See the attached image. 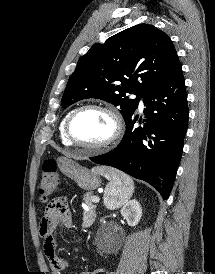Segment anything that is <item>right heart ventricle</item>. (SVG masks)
Segmentation results:
<instances>
[{"mask_svg": "<svg viewBox=\"0 0 215 274\" xmlns=\"http://www.w3.org/2000/svg\"><path fill=\"white\" fill-rule=\"evenodd\" d=\"M70 114V113H69ZM67 114L64 119L62 120L61 124H60V127H59V131H60V137H61V140H62V143L64 145H67V146H71V142L67 139L66 135H65V122H66V119L68 117Z\"/></svg>", "mask_w": 215, "mask_h": 274, "instance_id": "right-heart-ventricle-1", "label": "right heart ventricle"}]
</instances>
